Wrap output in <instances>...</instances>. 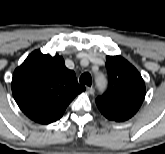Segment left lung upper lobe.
<instances>
[{"mask_svg": "<svg viewBox=\"0 0 165 154\" xmlns=\"http://www.w3.org/2000/svg\"><path fill=\"white\" fill-rule=\"evenodd\" d=\"M109 77L107 91L97 97L100 112L113 121H125L140 108L145 97V84L138 70L121 56H107Z\"/></svg>", "mask_w": 165, "mask_h": 154, "instance_id": "5c2ea615", "label": "left lung upper lobe"}]
</instances>
